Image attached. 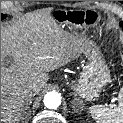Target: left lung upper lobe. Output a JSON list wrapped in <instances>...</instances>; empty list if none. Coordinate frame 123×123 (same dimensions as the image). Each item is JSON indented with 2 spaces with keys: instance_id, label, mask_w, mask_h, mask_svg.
I'll return each instance as SVG.
<instances>
[{
  "instance_id": "left-lung-upper-lobe-1",
  "label": "left lung upper lobe",
  "mask_w": 123,
  "mask_h": 123,
  "mask_svg": "<svg viewBox=\"0 0 123 123\" xmlns=\"http://www.w3.org/2000/svg\"><path fill=\"white\" fill-rule=\"evenodd\" d=\"M120 25L122 26V29H123V22H121Z\"/></svg>"
}]
</instances>
